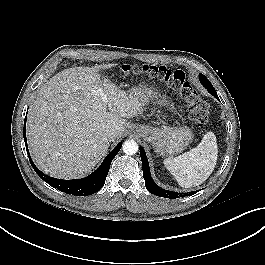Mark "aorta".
<instances>
[{"mask_svg": "<svg viewBox=\"0 0 265 265\" xmlns=\"http://www.w3.org/2000/svg\"><path fill=\"white\" fill-rule=\"evenodd\" d=\"M123 152L127 155H133L138 151V144L134 140H127L123 144Z\"/></svg>", "mask_w": 265, "mask_h": 265, "instance_id": "1", "label": "aorta"}]
</instances>
